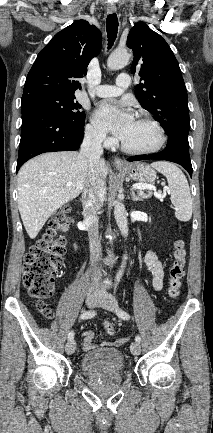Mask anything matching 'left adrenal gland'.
I'll use <instances>...</instances> for the list:
<instances>
[{
  "label": "left adrenal gland",
  "instance_id": "a2214340",
  "mask_svg": "<svg viewBox=\"0 0 213 433\" xmlns=\"http://www.w3.org/2000/svg\"><path fill=\"white\" fill-rule=\"evenodd\" d=\"M131 198L133 201H142V198L137 196L133 189H131Z\"/></svg>",
  "mask_w": 213,
  "mask_h": 433
}]
</instances>
